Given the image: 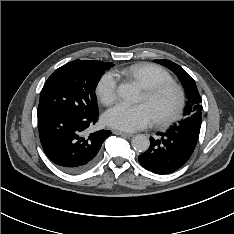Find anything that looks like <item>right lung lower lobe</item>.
Returning <instances> with one entry per match:
<instances>
[{"label":"right lung lower lobe","instance_id":"obj_1","mask_svg":"<svg viewBox=\"0 0 234 234\" xmlns=\"http://www.w3.org/2000/svg\"><path fill=\"white\" fill-rule=\"evenodd\" d=\"M98 114L83 116L69 112H50L38 116V130L46 156L60 169L77 174L90 169L111 131L88 134Z\"/></svg>","mask_w":234,"mask_h":234}]
</instances>
